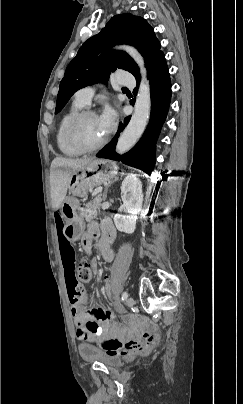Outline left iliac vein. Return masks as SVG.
Instances as JSON below:
<instances>
[{
  "label": "left iliac vein",
  "instance_id": "left-iliac-vein-1",
  "mask_svg": "<svg viewBox=\"0 0 243 404\" xmlns=\"http://www.w3.org/2000/svg\"><path fill=\"white\" fill-rule=\"evenodd\" d=\"M127 307L131 308L134 305V299L132 297H129L126 301Z\"/></svg>",
  "mask_w": 243,
  "mask_h": 404
}]
</instances>
